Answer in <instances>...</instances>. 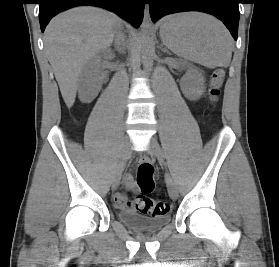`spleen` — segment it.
Returning a JSON list of instances; mask_svg holds the SVG:
<instances>
[{
    "label": "spleen",
    "instance_id": "spleen-1",
    "mask_svg": "<svg viewBox=\"0 0 279 267\" xmlns=\"http://www.w3.org/2000/svg\"><path fill=\"white\" fill-rule=\"evenodd\" d=\"M163 43L175 54L204 66H225L231 61L233 41L215 17L199 12L171 16L161 26Z\"/></svg>",
    "mask_w": 279,
    "mask_h": 267
}]
</instances>
